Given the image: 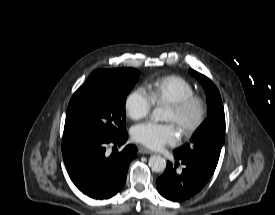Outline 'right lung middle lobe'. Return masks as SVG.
<instances>
[{
    "mask_svg": "<svg viewBox=\"0 0 275 215\" xmlns=\"http://www.w3.org/2000/svg\"><path fill=\"white\" fill-rule=\"evenodd\" d=\"M139 74L133 68L94 71L69 102L63 139H111L125 133V97Z\"/></svg>",
    "mask_w": 275,
    "mask_h": 215,
    "instance_id": "1",
    "label": "right lung middle lobe"
}]
</instances>
